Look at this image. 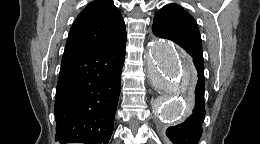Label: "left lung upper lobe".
<instances>
[{"instance_id":"5c2ea615","label":"left lung upper lobe","mask_w":260,"mask_h":144,"mask_svg":"<svg viewBox=\"0 0 260 144\" xmlns=\"http://www.w3.org/2000/svg\"><path fill=\"white\" fill-rule=\"evenodd\" d=\"M152 30L154 35L160 38L172 40L180 46H193L202 50L197 23L181 6L168 4L162 7L154 17ZM194 65L198 77H204L203 57L194 62Z\"/></svg>"}]
</instances>
